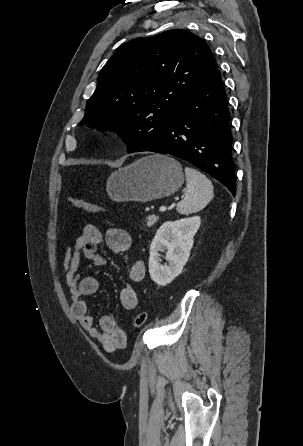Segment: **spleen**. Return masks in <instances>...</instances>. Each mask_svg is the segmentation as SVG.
Wrapping results in <instances>:
<instances>
[{
  "instance_id": "3e777b00",
  "label": "spleen",
  "mask_w": 303,
  "mask_h": 446,
  "mask_svg": "<svg viewBox=\"0 0 303 446\" xmlns=\"http://www.w3.org/2000/svg\"><path fill=\"white\" fill-rule=\"evenodd\" d=\"M185 197L177 204L180 214L188 215L202 210L214 196L212 182L200 171L185 167Z\"/></svg>"
}]
</instances>
